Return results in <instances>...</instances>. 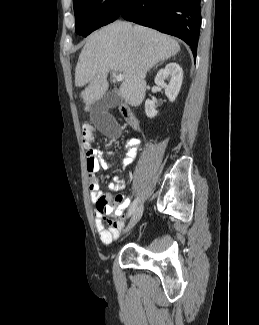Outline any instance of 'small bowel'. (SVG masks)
Wrapping results in <instances>:
<instances>
[{"mask_svg":"<svg viewBox=\"0 0 259 325\" xmlns=\"http://www.w3.org/2000/svg\"><path fill=\"white\" fill-rule=\"evenodd\" d=\"M127 153L122 160L124 166L130 165L135 159L140 140L138 138H129L125 142ZM112 154L110 151H102L95 148H88L86 151V166L88 172V186L91 201L96 205L94 212V225L98 232L99 239L104 245L111 244L118 238L120 231L125 223L124 212L129 205V199L122 194L114 197V204L111 203L113 196L111 193L103 192L97 180V174L102 167L113 168L116 166L106 160V156ZM125 182L118 176H114L109 183V189L112 192H118L124 189ZM114 214L115 218L108 221L109 226L105 227L104 219Z\"/></svg>","mask_w":259,"mask_h":325,"instance_id":"1","label":"small bowel"}]
</instances>
